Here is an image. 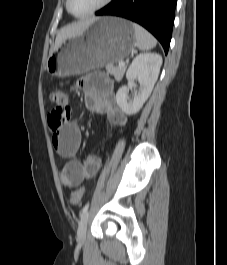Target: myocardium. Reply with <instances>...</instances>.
Returning <instances> with one entry per match:
<instances>
[{"label": "myocardium", "instance_id": "f54148a6", "mask_svg": "<svg viewBox=\"0 0 227 265\" xmlns=\"http://www.w3.org/2000/svg\"><path fill=\"white\" fill-rule=\"evenodd\" d=\"M111 1L112 0H102L96 7H94L91 10H89L88 12H85L83 14H75L70 9V5H69L70 4V0H66V9H67L68 13H70L72 16H74L76 18H83V17L90 16V15L100 11L101 9L106 7Z\"/></svg>", "mask_w": 227, "mask_h": 265}]
</instances>
